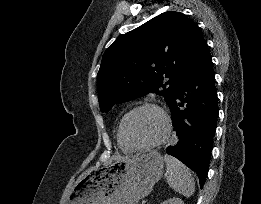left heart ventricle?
<instances>
[{
    "label": "left heart ventricle",
    "instance_id": "obj_1",
    "mask_svg": "<svg viewBox=\"0 0 261 204\" xmlns=\"http://www.w3.org/2000/svg\"><path fill=\"white\" fill-rule=\"evenodd\" d=\"M163 123L153 110L145 109L132 114L126 121L124 134L133 145H145L156 140L162 133Z\"/></svg>",
    "mask_w": 261,
    "mask_h": 204
}]
</instances>
